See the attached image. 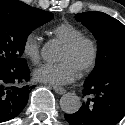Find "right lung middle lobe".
<instances>
[{"mask_svg":"<svg viewBox=\"0 0 125 125\" xmlns=\"http://www.w3.org/2000/svg\"><path fill=\"white\" fill-rule=\"evenodd\" d=\"M53 19V13L35 9L29 16H18L0 6V61L15 67L26 63L21 58L28 35Z\"/></svg>","mask_w":125,"mask_h":125,"instance_id":"1","label":"right lung middle lobe"}]
</instances>
